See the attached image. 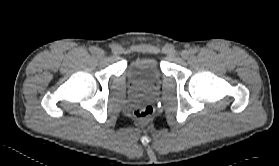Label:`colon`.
I'll use <instances>...</instances> for the list:
<instances>
[{
	"label": "colon",
	"instance_id": "obj_1",
	"mask_svg": "<svg viewBox=\"0 0 279 166\" xmlns=\"http://www.w3.org/2000/svg\"><path fill=\"white\" fill-rule=\"evenodd\" d=\"M154 109L151 105L139 106L134 111V117L140 123H145L152 117Z\"/></svg>",
	"mask_w": 279,
	"mask_h": 166
}]
</instances>
